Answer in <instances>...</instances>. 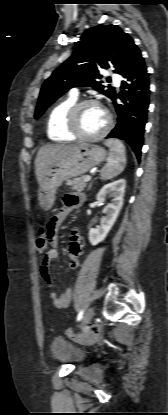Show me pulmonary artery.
<instances>
[{
	"label": "pulmonary artery",
	"instance_id": "1",
	"mask_svg": "<svg viewBox=\"0 0 168 415\" xmlns=\"http://www.w3.org/2000/svg\"><path fill=\"white\" fill-rule=\"evenodd\" d=\"M112 80L114 82V84L116 86L120 85V77L117 74H112ZM70 95L74 98L78 97V90L77 89H72L70 92Z\"/></svg>",
	"mask_w": 168,
	"mask_h": 415
}]
</instances>
